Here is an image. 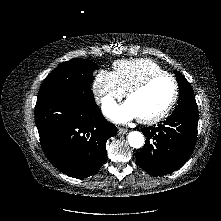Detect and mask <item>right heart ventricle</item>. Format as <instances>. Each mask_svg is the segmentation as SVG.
I'll use <instances>...</instances> for the list:
<instances>
[{
	"instance_id": "right-heart-ventricle-1",
	"label": "right heart ventricle",
	"mask_w": 221,
	"mask_h": 221,
	"mask_svg": "<svg viewBox=\"0 0 221 221\" xmlns=\"http://www.w3.org/2000/svg\"><path fill=\"white\" fill-rule=\"evenodd\" d=\"M162 72L158 64L148 59L118 60L113 63V74L124 92L146 77Z\"/></svg>"
}]
</instances>
